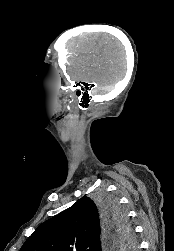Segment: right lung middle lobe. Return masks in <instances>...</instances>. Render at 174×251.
Returning a JSON list of instances; mask_svg holds the SVG:
<instances>
[{"label":"right lung middle lobe","instance_id":"right-lung-middle-lobe-1","mask_svg":"<svg viewBox=\"0 0 174 251\" xmlns=\"http://www.w3.org/2000/svg\"><path fill=\"white\" fill-rule=\"evenodd\" d=\"M94 202L99 207L104 220L113 228V236L121 240V248L127 251L135 250L136 241L131 224L126 211L117 199L107 193H99L94 196Z\"/></svg>","mask_w":174,"mask_h":251}]
</instances>
